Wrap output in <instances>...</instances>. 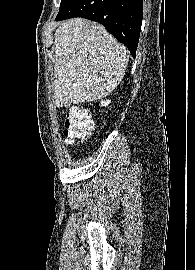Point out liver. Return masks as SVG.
I'll return each mask as SVG.
<instances>
[{"label":"liver","mask_w":195,"mask_h":270,"mask_svg":"<svg viewBox=\"0 0 195 270\" xmlns=\"http://www.w3.org/2000/svg\"><path fill=\"white\" fill-rule=\"evenodd\" d=\"M54 98L57 107L109 95L121 82L129 53L97 23L74 18L54 35Z\"/></svg>","instance_id":"1"}]
</instances>
